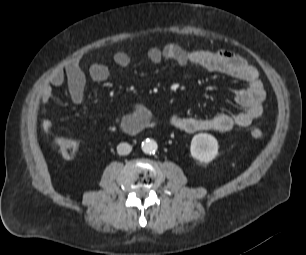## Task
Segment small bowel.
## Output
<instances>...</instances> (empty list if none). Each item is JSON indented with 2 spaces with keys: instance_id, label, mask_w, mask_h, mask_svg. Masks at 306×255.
I'll list each match as a JSON object with an SVG mask.
<instances>
[{
  "instance_id": "c3829d8e",
  "label": "small bowel",
  "mask_w": 306,
  "mask_h": 255,
  "mask_svg": "<svg viewBox=\"0 0 306 255\" xmlns=\"http://www.w3.org/2000/svg\"><path fill=\"white\" fill-rule=\"evenodd\" d=\"M148 60L158 64L163 60L179 66L193 65L201 69L227 75L242 81L246 86L236 93V102L242 111L235 114L221 113L207 118L183 117L172 114L169 124L181 131L194 133L198 131L226 132L234 127H248L263 113L265 91L257 70L244 58L226 49H194L186 50L180 44L169 42L162 48L153 46L146 51ZM114 63L120 68L129 66L131 59L125 51L113 54ZM89 77L95 82H103L112 76V69L102 63H92L88 69ZM66 85L72 102L79 105L83 102L86 86V75L82 67V59L69 61L62 69L54 72L48 84L40 92V100L47 104L53 95V88ZM150 111L144 105H137L134 111L125 116L122 127L132 131L137 126L145 125L150 119ZM44 132L52 134L51 120L44 119L41 123Z\"/></svg>"
}]
</instances>
